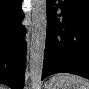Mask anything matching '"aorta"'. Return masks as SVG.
Masks as SVG:
<instances>
[{"label": "aorta", "instance_id": "762f6f07", "mask_svg": "<svg viewBox=\"0 0 89 89\" xmlns=\"http://www.w3.org/2000/svg\"><path fill=\"white\" fill-rule=\"evenodd\" d=\"M47 29L46 0H33L30 42V76L32 89H40Z\"/></svg>", "mask_w": 89, "mask_h": 89}]
</instances>
